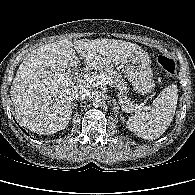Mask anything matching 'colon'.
I'll return each mask as SVG.
<instances>
[{"label": "colon", "mask_w": 195, "mask_h": 195, "mask_svg": "<svg viewBox=\"0 0 195 195\" xmlns=\"http://www.w3.org/2000/svg\"><path fill=\"white\" fill-rule=\"evenodd\" d=\"M158 67L167 75L173 76L176 72V62L172 57L166 55L158 56L157 60Z\"/></svg>", "instance_id": "1"}]
</instances>
